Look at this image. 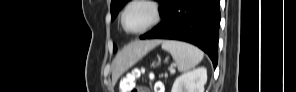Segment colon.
I'll return each instance as SVG.
<instances>
[{
	"mask_svg": "<svg viewBox=\"0 0 296 92\" xmlns=\"http://www.w3.org/2000/svg\"><path fill=\"white\" fill-rule=\"evenodd\" d=\"M140 72L137 70L131 71L125 74L119 83L121 92H149V89L145 87L136 86L135 81L139 76Z\"/></svg>",
	"mask_w": 296,
	"mask_h": 92,
	"instance_id": "obj_1",
	"label": "colon"
}]
</instances>
